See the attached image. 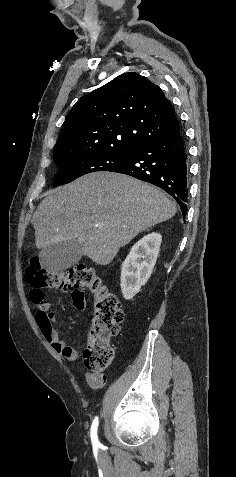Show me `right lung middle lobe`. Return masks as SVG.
I'll list each match as a JSON object with an SVG mask.
<instances>
[{
	"instance_id": "1",
	"label": "right lung middle lobe",
	"mask_w": 236,
	"mask_h": 477,
	"mask_svg": "<svg viewBox=\"0 0 236 477\" xmlns=\"http://www.w3.org/2000/svg\"><path fill=\"white\" fill-rule=\"evenodd\" d=\"M128 157V155L109 153H84L72 157L54 158L59 169L53 185L60 186L92 172L111 171L125 164Z\"/></svg>"
}]
</instances>
